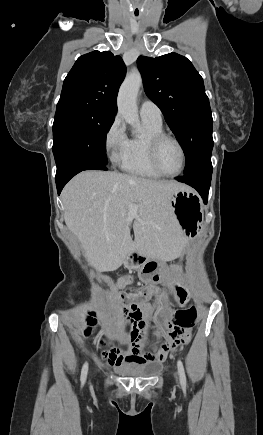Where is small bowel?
<instances>
[{
  "instance_id": "1",
  "label": "small bowel",
  "mask_w": 263,
  "mask_h": 435,
  "mask_svg": "<svg viewBox=\"0 0 263 435\" xmlns=\"http://www.w3.org/2000/svg\"><path fill=\"white\" fill-rule=\"evenodd\" d=\"M131 282L130 276H123L118 280V287L125 288ZM125 304V308L121 311V317L124 319L125 324L129 328H135L137 331L140 328H147L149 311L146 306H144L141 301L137 299H130L127 301L120 300ZM95 312L94 310H90ZM175 328H180V323H175ZM174 328V329H175ZM174 331V330H173ZM138 335V334H137ZM169 343L162 349L156 350L155 348L150 350H123L121 348H114L110 350L109 348L103 351V357L106 359L107 363L112 367L121 366L124 363H136L143 364L148 361L157 360L162 362L165 360L168 350H177L179 348V343L174 341V336H165ZM144 341L145 339H139Z\"/></svg>"
}]
</instances>
